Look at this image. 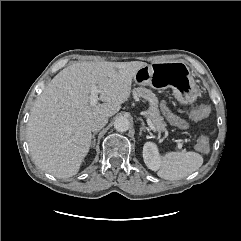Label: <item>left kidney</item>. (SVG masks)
Returning a JSON list of instances; mask_svg holds the SVG:
<instances>
[{
  "instance_id": "obj_1",
  "label": "left kidney",
  "mask_w": 241,
  "mask_h": 241,
  "mask_svg": "<svg viewBox=\"0 0 241 241\" xmlns=\"http://www.w3.org/2000/svg\"><path fill=\"white\" fill-rule=\"evenodd\" d=\"M143 159L146 166L153 170L157 171L161 166V159L159 156L157 146L152 142H147L143 146Z\"/></svg>"
}]
</instances>
